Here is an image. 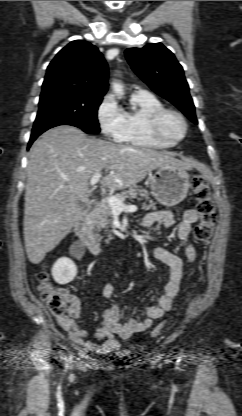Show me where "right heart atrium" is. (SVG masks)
Segmentation results:
<instances>
[{
	"label": "right heart atrium",
	"instance_id": "d8ad5b80",
	"mask_svg": "<svg viewBox=\"0 0 242 416\" xmlns=\"http://www.w3.org/2000/svg\"><path fill=\"white\" fill-rule=\"evenodd\" d=\"M97 121L102 133L109 138L118 140L125 127L123 110L117 104L113 95H106L100 102L97 113Z\"/></svg>",
	"mask_w": 242,
	"mask_h": 416
}]
</instances>
